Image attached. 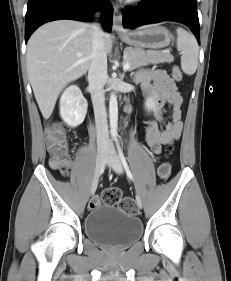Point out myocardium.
Segmentation results:
<instances>
[{
  "label": "myocardium",
  "mask_w": 231,
  "mask_h": 281,
  "mask_svg": "<svg viewBox=\"0 0 231 281\" xmlns=\"http://www.w3.org/2000/svg\"><path fill=\"white\" fill-rule=\"evenodd\" d=\"M130 3H139L141 2L142 0H128Z\"/></svg>",
  "instance_id": "1"
}]
</instances>
